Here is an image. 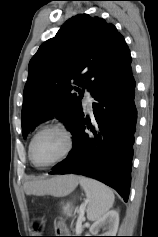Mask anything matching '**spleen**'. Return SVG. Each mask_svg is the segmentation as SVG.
<instances>
[{
  "label": "spleen",
  "instance_id": "spleen-1",
  "mask_svg": "<svg viewBox=\"0 0 158 237\" xmlns=\"http://www.w3.org/2000/svg\"><path fill=\"white\" fill-rule=\"evenodd\" d=\"M79 182L88 198L87 218L96 221L113 206L114 193L105 184L91 178L80 177Z\"/></svg>",
  "mask_w": 158,
  "mask_h": 237
}]
</instances>
